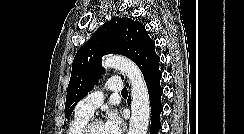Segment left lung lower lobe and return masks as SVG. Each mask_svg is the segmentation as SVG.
Returning a JSON list of instances; mask_svg holds the SVG:
<instances>
[{"instance_id": "0a47b994", "label": "left lung lower lobe", "mask_w": 244, "mask_h": 134, "mask_svg": "<svg viewBox=\"0 0 244 134\" xmlns=\"http://www.w3.org/2000/svg\"><path fill=\"white\" fill-rule=\"evenodd\" d=\"M161 77L162 73L158 72L152 74L146 80L152 112L150 134H158L161 128V122L159 119L160 113L163 109V106L161 104V95L163 94V89L160 86ZM128 102H130V97L128 98Z\"/></svg>"}]
</instances>
